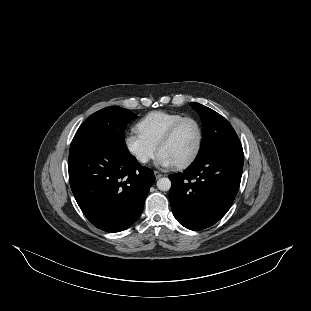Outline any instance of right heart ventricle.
<instances>
[{
	"label": "right heart ventricle",
	"instance_id": "1",
	"mask_svg": "<svg viewBox=\"0 0 311 311\" xmlns=\"http://www.w3.org/2000/svg\"><path fill=\"white\" fill-rule=\"evenodd\" d=\"M184 116L181 113L150 112L136 122L135 128L148 144L157 148L162 137Z\"/></svg>",
	"mask_w": 311,
	"mask_h": 311
}]
</instances>
